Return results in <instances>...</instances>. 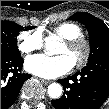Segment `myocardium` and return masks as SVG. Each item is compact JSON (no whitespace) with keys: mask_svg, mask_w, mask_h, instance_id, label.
Returning <instances> with one entry per match:
<instances>
[{"mask_svg":"<svg viewBox=\"0 0 109 109\" xmlns=\"http://www.w3.org/2000/svg\"><path fill=\"white\" fill-rule=\"evenodd\" d=\"M64 43L68 48H74L79 45L83 47L84 52L82 57L78 62L74 64V67L77 69L83 68L88 63L91 57L92 47L90 41L84 35H79L65 39Z\"/></svg>","mask_w":109,"mask_h":109,"instance_id":"f54148a6","label":"myocardium"}]
</instances>
